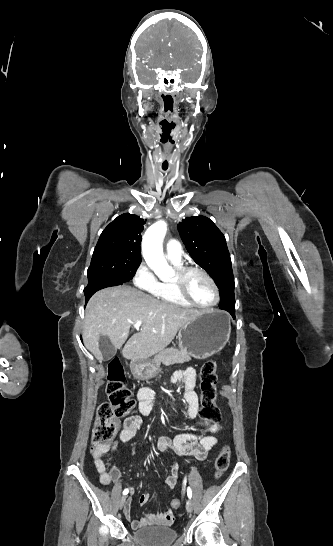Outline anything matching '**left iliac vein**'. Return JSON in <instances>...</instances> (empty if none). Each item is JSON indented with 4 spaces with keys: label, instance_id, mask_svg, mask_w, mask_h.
I'll use <instances>...</instances> for the list:
<instances>
[{
    "label": "left iliac vein",
    "instance_id": "obj_1",
    "mask_svg": "<svg viewBox=\"0 0 333 546\" xmlns=\"http://www.w3.org/2000/svg\"><path fill=\"white\" fill-rule=\"evenodd\" d=\"M186 510H187L188 512H191V511L193 510V503H192L191 500H188V501L186 502Z\"/></svg>",
    "mask_w": 333,
    "mask_h": 546
}]
</instances>
